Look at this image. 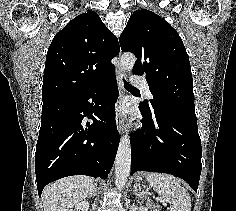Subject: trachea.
<instances>
[{"label": "trachea", "instance_id": "obj_1", "mask_svg": "<svg viewBox=\"0 0 236 211\" xmlns=\"http://www.w3.org/2000/svg\"><path fill=\"white\" fill-rule=\"evenodd\" d=\"M124 85H125V88L128 89V90H133V89H135L134 87H132V86H131L128 82H126V81H125Z\"/></svg>", "mask_w": 236, "mask_h": 211}]
</instances>
